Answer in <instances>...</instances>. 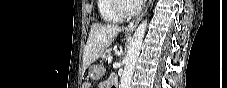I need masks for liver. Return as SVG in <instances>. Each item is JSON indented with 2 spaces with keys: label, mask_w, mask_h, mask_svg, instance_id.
<instances>
[{
  "label": "liver",
  "mask_w": 227,
  "mask_h": 88,
  "mask_svg": "<svg viewBox=\"0 0 227 88\" xmlns=\"http://www.w3.org/2000/svg\"><path fill=\"white\" fill-rule=\"evenodd\" d=\"M120 31L121 27L115 24H92L89 37L84 48V67H88L91 63L95 62L100 57L102 52L111 45Z\"/></svg>",
  "instance_id": "obj_1"
}]
</instances>
